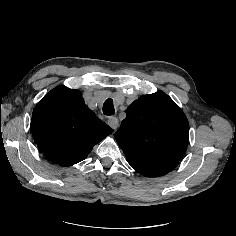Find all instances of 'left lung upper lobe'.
Masks as SVG:
<instances>
[{
    "label": "left lung upper lobe",
    "instance_id": "5c2ea615",
    "mask_svg": "<svg viewBox=\"0 0 236 236\" xmlns=\"http://www.w3.org/2000/svg\"><path fill=\"white\" fill-rule=\"evenodd\" d=\"M128 163L138 173L157 177L172 171L189 143V123L165 93L139 97L115 133Z\"/></svg>",
    "mask_w": 236,
    "mask_h": 236
}]
</instances>
